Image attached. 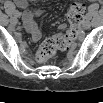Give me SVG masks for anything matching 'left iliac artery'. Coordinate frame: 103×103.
<instances>
[{
    "instance_id": "left-iliac-artery-1",
    "label": "left iliac artery",
    "mask_w": 103,
    "mask_h": 103,
    "mask_svg": "<svg viewBox=\"0 0 103 103\" xmlns=\"http://www.w3.org/2000/svg\"><path fill=\"white\" fill-rule=\"evenodd\" d=\"M91 19H92V15L89 14V13H87V14H86V20H87V21H90Z\"/></svg>"
}]
</instances>
